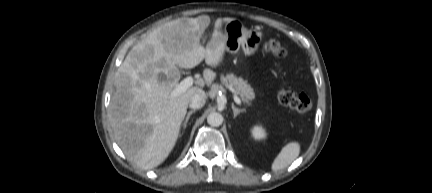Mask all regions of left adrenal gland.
<instances>
[{"label": "left adrenal gland", "instance_id": "a2214340", "mask_svg": "<svg viewBox=\"0 0 432 193\" xmlns=\"http://www.w3.org/2000/svg\"><path fill=\"white\" fill-rule=\"evenodd\" d=\"M232 110H233L234 118H236L240 113L245 112V109L236 108L234 104H232Z\"/></svg>", "mask_w": 432, "mask_h": 193}]
</instances>
